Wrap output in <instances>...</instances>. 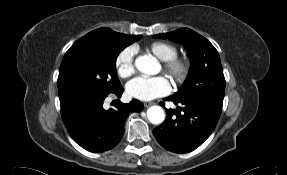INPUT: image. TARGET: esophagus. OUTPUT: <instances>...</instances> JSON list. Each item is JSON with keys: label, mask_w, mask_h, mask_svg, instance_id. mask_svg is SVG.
Wrapping results in <instances>:
<instances>
[{"label": "esophagus", "mask_w": 287, "mask_h": 175, "mask_svg": "<svg viewBox=\"0 0 287 175\" xmlns=\"http://www.w3.org/2000/svg\"><path fill=\"white\" fill-rule=\"evenodd\" d=\"M153 104V102H144L143 105L145 108H148L149 106H151Z\"/></svg>", "instance_id": "34e87169"}]
</instances>
